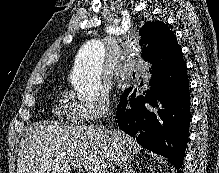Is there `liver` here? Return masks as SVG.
<instances>
[{"instance_id":"obj_1","label":"liver","mask_w":219,"mask_h":173,"mask_svg":"<svg viewBox=\"0 0 219 173\" xmlns=\"http://www.w3.org/2000/svg\"><path fill=\"white\" fill-rule=\"evenodd\" d=\"M17 173H71L78 163L88 173L124 167L142 147L120 130L109 137L101 126L37 125L21 140Z\"/></svg>"}]
</instances>
